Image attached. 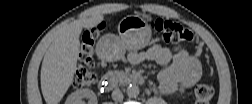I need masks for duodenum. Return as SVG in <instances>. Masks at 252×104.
<instances>
[{
	"label": "duodenum",
	"instance_id": "obj_1",
	"mask_svg": "<svg viewBox=\"0 0 252 104\" xmlns=\"http://www.w3.org/2000/svg\"><path fill=\"white\" fill-rule=\"evenodd\" d=\"M145 83L143 76L138 74H129V73H109L106 74L100 81V87L104 90L112 89L118 84H136L142 85Z\"/></svg>",
	"mask_w": 252,
	"mask_h": 104
}]
</instances>
